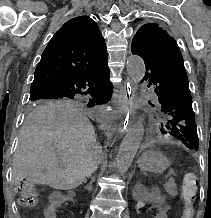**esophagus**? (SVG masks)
<instances>
[{"label": "esophagus", "mask_w": 211, "mask_h": 218, "mask_svg": "<svg viewBox=\"0 0 211 218\" xmlns=\"http://www.w3.org/2000/svg\"><path fill=\"white\" fill-rule=\"evenodd\" d=\"M125 80V85L126 87H123L120 90L119 96L112 100V102L115 105L116 110L112 112L110 115V119H116V122L119 123V131H126L127 128L131 127V118H119L120 116L122 117H130L132 115V109H131V104H128L129 102H132L135 97L133 94V89H131L133 86V83L130 82V77L128 76ZM131 83V85H130Z\"/></svg>", "instance_id": "esophagus-1"}]
</instances>
